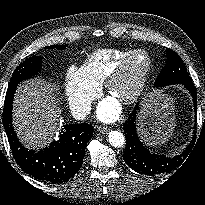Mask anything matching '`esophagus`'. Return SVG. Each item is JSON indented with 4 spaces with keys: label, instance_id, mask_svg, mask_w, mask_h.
Wrapping results in <instances>:
<instances>
[{
    "label": "esophagus",
    "instance_id": "34e87169",
    "mask_svg": "<svg viewBox=\"0 0 205 205\" xmlns=\"http://www.w3.org/2000/svg\"><path fill=\"white\" fill-rule=\"evenodd\" d=\"M109 128L107 127H98V131L102 134H106L107 132H109Z\"/></svg>",
    "mask_w": 205,
    "mask_h": 205
}]
</instances>
